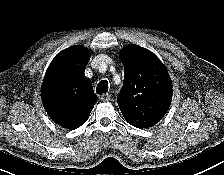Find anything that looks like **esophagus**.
Masks as SVG:
<instances>
[{
	"label": "esophagus",
	"mask_w": 224,
	"mask_h": 175,
	"mask_svg": "<svg viewBox=\"0 0 224 175\" xmlns=\"http://www.w3.org/2000/svg\"><path fill=\"white\" fill-rule=\"evenodd\" d=\"M101 101H109L111 100V95L110 94H102L99 96Z\"/></svg>",
	"instance_id": "1"
}]
</instances>
